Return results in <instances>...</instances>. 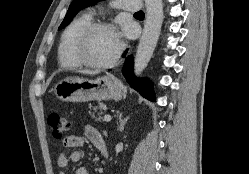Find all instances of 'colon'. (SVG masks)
Segmentation results:
<instances>
[{"label": "colon", "instance_id": "1", "mask_svg": "<svg viewBox=\"0 0 249 174\" xmlns=\"http://www.w3.org/2000/svg\"><path fill=\"white\" fill-rule=\"evenodd\" d=\"M55 138H62L71 128L70 120L58 112H51L47 118Z\"/></svg>", "mask_w": 249, "mask_h": 174}]
</instances>
